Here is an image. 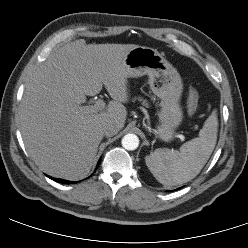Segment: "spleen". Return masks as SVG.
Instances as JSON below:
<instances>
[{
    "instance_id": "spleen-1",
    "label": "spleen",
    "mask_w": 248,
    "mask_h": 248,
    "mask_svg": "<svg viewBox=\"0 0 248 248\" xmlns=\"http://www.w3.org/2000/svg\"><path fill=\"white\" fill-rule=\"evenodd\" d=\"M218 119L214 110L205 121L199 137L184 143L179 150L157 149L145 162L153 176L168 186L194 179L207 163L217 140Z\"/></svg>"
}]
</instances>
